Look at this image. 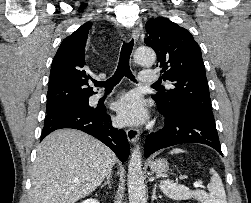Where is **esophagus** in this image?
<instances>
[{"mask_svg": "<svg viewBox=\"0 0 251 203\" xmlns=\"http://www.w3.org/2000/svg\"><path fill=\"white\" fill-rule=\"evenodd\" d=\"M139 36H140V30L137 28V27H134L132 29V37L135 39V40H138L139 39ZM126 134H127V138L128 140L131 142V143H135L138 141L139 139V132L137 129L135 128H128L126 130Z\"/></svg>", "mask_w": 251, "mask_h": 203, "instance_id": "1", "label": "esophagus"}]
</instances>
